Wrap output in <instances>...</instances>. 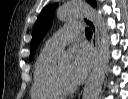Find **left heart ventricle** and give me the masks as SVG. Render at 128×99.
<instances>
[{
  "label": "left heart ventricle",
  "instance_id": "1",
  "mask_svg": "<svg viewBox=\"0 0 128 99\" xmlns=\"http://www.w3.org/2000/svg\"><path fill=\"white\" fill-rule=\"evenodd\" d=\"M59 66H60V70H61L65 80L68 83H74V81L72 80V78L70 76L71 62L70 61L63 62Z\"/></svg>",
  "mask_w": 128,
  "mask_h": 99
}]
</instances>
